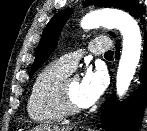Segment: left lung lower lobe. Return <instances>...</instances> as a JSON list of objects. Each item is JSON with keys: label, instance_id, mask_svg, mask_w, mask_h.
<instances>
[{"label": "left lung lower lobe", "instance_id": "obj_1", "mask_svg": "<svg viewBox=\"0 0 147 131\" xmlns=\"http://www.w3.org/2000/svg\"><path fill=\"white\" fill-rule=\"evenodd\" d=\"M119 57V42L117 41L116 58ZM141 86L128 101L119 103L111 96L104 109L99 128L105 131H136L147 101V38L143 51V63L140 72Z\"/></svg>", "mask_w": 147, "mask_h": 131}]
</instances>
